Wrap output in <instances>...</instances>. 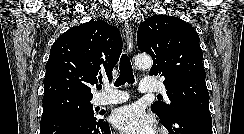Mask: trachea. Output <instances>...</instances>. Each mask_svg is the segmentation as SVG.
Here are the masks:
<instances>
[{
	"mask_svg": "<svg viewBox=\"0 0 244 134\" xmlns=\"http://www.w3.org/2000/svg\"><path fill=\"white\" fill-rule=\"evenodd\" d=\"M120 74L117 80L115 81V86H121L125 84L126 82L133 84L135 82L132 65L130 62L129 57L126 54H123L120 58V66H119ZM99 90L102 88L101 85L97 87ZM158 97H161V95H158Z\"/></svg>",
	"mask_w": 244,
	"mask_h": 134,
	"instance_id": "obj_1",
	"label": "trachea"
}]
</instances>
